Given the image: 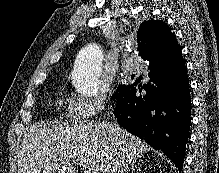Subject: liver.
<instances>
[{"instance_id": "liver-1", "label": "liver", "mask_w": 219, "mask_h": 173, "mask_svg": "<svg viewBox=\"0 0 219 173\" xmlns=\"http://www.w3.org/2000/svg\"><path fill=\"white\" fill-rule=\"evenodd\" d=\"M149 145L109 122L31 126L18 152L19 173H123Z\"/></svg>"}]
</instances>
